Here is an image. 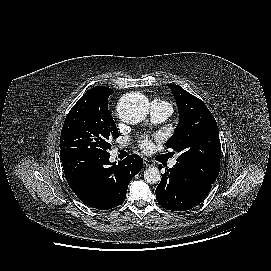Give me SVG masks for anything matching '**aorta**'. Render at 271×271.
Here are the masks:
<instances>
[{"mask_svg": "<svg viewBox=\"0 0 271 271\" xmlns=\"http://www.w3.org/2000/svg\"><path fill=\"white\" fill-rule=\"evenodd\" d=\"M148 114V101L141 94H128L121 99L119 115L127 123L142 121ZM144 180L150 184H156L161 180L158 168L149 167L144 171Z\"/></svg>", "mask_w": 271, "mask_h": 271, "instance_id": "aorta-1", "label": "aorta"}]
</instances>
